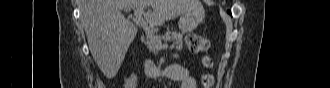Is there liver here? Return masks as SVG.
<instances>
[{
	"label": "liver",
	"mask_w": 330,
	"mask_h": 88,
	"mask_svg": "<svg viewBox=\"0 0 330 88\" xmlns=\"http://www.w3.org/2000/svg\"><path fill=\"white\" fill-rule=\"evenodd\" d=\"M194 0H82L81 19L90 52L107 78H113L121 67L137 27L121 10L142 9L146 23L160 26L190 10ZM150 7V8H149Z\"/></svg>",
	"instance_id": "6515ba94"
}]
</instances>
